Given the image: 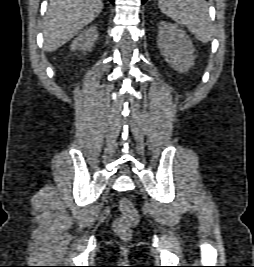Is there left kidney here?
<instances>
[{"label":"left kidney","mask_w":254,"mask_h":267,"mask_svg":"<svg viewBox=\"0 0 254 267\" xmlns=\"http://www.w3.org/2000/svg\"><path fill=\"white\" fill-rule=\"evenodd\" d=\"M157 46L161 55L175 70L184 73L194 65L196 56L193 43L177 25L160 22Z\"/></svg>","instance_id":"5707ae66"}]
</instances>
